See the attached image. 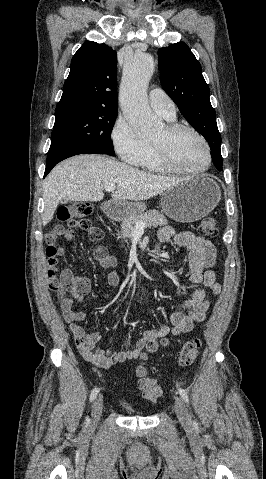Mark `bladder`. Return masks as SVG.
Returning a JSON list of instances; mask_svg holds the SVG:
<instances>
[{
	"instance_id": "bladder-1",
	"label": "bladder",
	"mask_w": 266,
	"mask_h": 479,
	"mask_svg": "<svg viewBox=\"0 0 266 479\" xmlns=\"http://www.w3.org/2000/svg\"><path fill=\"white\" fill-rule=\"evenodd\" d=\"M125 409H126L128 412H131V413L133 412V410H131V409L127 408V407H125Z\"/></svg>"
}]
</instances>
